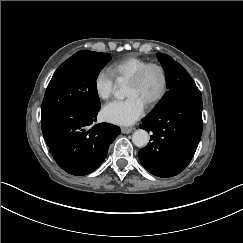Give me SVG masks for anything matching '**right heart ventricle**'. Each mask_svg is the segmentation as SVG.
Masks as SVG:
<instances>
[{
  "label": "right heart ventricle",
  "mask_w": 243,
  "mask_h": 243,
  "mask_svg": "<svg viewBox=\"0 0 243 243\" xmlns=\"http://www.w3.org/2000/svg\"><path fill=\"white\" fill-rule=\"evenodd\" d=\"M148 61L138 57L129 56L110 66L114 77L118 81H128L130 77Z\"/></svg>",
  "instance_id": "e07e8e85"
}]
</instances>
